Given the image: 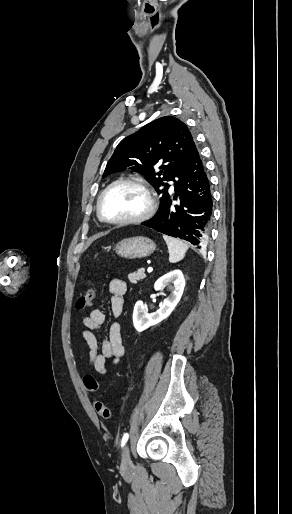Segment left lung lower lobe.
<instances>
[{
	"label": "left lung lower lobe",
	"mask_w": 292,
	"mask_h": 514,
	"mask_svg": "<svg viewBox=\"0 0 292 514\" xmlns=\"http://www.w3.org/2000/svg\"><path fill=\"white\" fill-rule=\"evenodd\" d=\"M173 200L177 204H172ZM213 212L210 182L198 149L193 143L188 164L175 184V194L160 199L156 215L142 223L201 248L208 241Z\"/></svg>",
	"instance_id": "0a47b994"
}]
</instances>
